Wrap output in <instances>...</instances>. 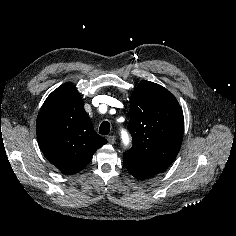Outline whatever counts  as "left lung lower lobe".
<instances>
[{"label": "left lung lower lobe", "instance_id": "1", "mask_svg": "<svg viewBox=\"0 0 236 236\" xmlns=\"http://www.w3.org/2000/svg\"><path fill=\"white\" fill-rule=\"evenodd\" d=\"M123 161L128 171L137 179L144 180L153 177L168 168V166L148 161L129 153L123 154Z\"/></svg>", "mask_w": 236, "mask_h": 236}]
</instances>
